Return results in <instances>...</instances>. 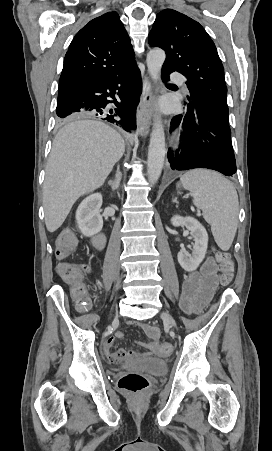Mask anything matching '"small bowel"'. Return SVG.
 Wrapping results in <instances>:
<instances>
[{
  "label": "small bowel",
  "instance_id": "c3829d8e",
  "mask_svg": "<svg viewBox=\"0 0 272 451\" xmlns=\"http://www.w3.org/2000/svg\"><path fill=\"white\" fill-rule=\"evenodd\" d=\"M216 271V260L213 257H208L200 270L193 271L185 276V280L182 288L181 306L188 313H197L201 310L206 302L204 295L205 280L208 276L214 275ZM143 331L152 339L149 343H139V346L153 351L158 344L159 334L158 331L150 326H143ZM114 339L109 337L105 340L103 350L108 358L109 352H113L112 346ZM115 352H126L127 357L134 354L133 351L121 348ZM112 362V361H110ZM113 363V362H112Z\"/></svg>",
  "mask_w": 272,
  "mask_h": 451
}]
</instances>
